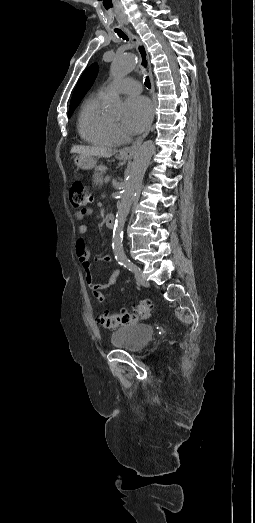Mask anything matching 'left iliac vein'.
Here are the masks:
<instances>
[{
    "mask_svg": "<svg viewBox=\"0 0 255 523\" xmlns=\"http://www.w3.org/2000/svg\"><path fill=\"white\" fill-rule=\"evenodd\" d=\"M135 278L137 280V282L145 287H148L149 286V283L148 281L144 278V276L142 275L141 271H137L135 272Z\"/></svg>",
    "mask_w": 255,
    "mask_h": 523,
    "instance_id": "left-iliac-vein-1",
    "label": "left iliac vein"
}]
</instances>
